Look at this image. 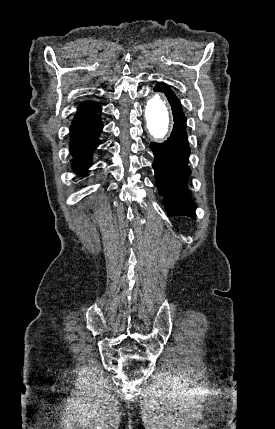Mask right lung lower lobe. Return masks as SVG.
<instances>
[{
    "label": "right lung lower lobe",
    "mask_w": 275,
    "mask_h": 429,
    "mask_svg": "<svg viewBox=\"0 0 275 429\" xmlns=\"http://www.w3.org/2000/svg\"><path fill=\"white\" fill-rule=\"evenodd\" d=\"M99 111L73 121L70 127V151L74 159L72 167L82 175L87 174V169L91 166L92 153L99 145L98 138L103 128Z\"/></svg>",
    "instance_id": "obj_1"
}]
</instances>
